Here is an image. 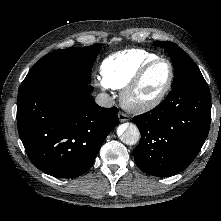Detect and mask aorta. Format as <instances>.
I'll list each match as a JSON object with an SVG mask.
<instances>
[{"instance_id":"aorta-1","label":"aorta","mask_w":221,"mask_h":221,"mask_svg":"<svg viewBox=\"0 0 221 221\" xmlns=\"http://www.w3.org/2000/svg\"><path fill=\"white\" fill-rule=\"evenodd\" d=\"M120 140L127 145H135L140 140L138 127L133 123H124L117 129Z\"/></svg>"}]
</instances>
